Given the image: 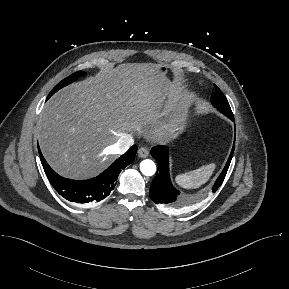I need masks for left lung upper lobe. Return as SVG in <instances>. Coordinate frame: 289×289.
Wrapping results in <instances>:
<instances>
[{"instance_id":"5c2ea615","label":"left lung upper lobe","mask_w":289,"mask_h":289,"mask_svg":"<svg viewBox=\"0 0 289 289\" xmlns=\"http://www.w3.org/2000/svg\"><path fill=\"white\" fill-rule=\"evenodd\" d=\"M212 104L223 114L232 113L230 105L222 93V91L215 85V92L211 97Z\"/></svg>"}]
</instances>
